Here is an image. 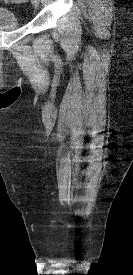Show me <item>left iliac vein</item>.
<instances>
[{"mask_svg": "<svg viewBox=\"0 0 133 275\" xmlns=\"http://www.w3.org/2000/svg\"><path fill=\"white\" fill-rule=\"evenodd\" d=\"M32 4L37 7L39 5L40 0H31Z\"/></svg>", "mask_w": 133, "mask_h": 275, "instance_id": "obj_1", "label": "left iliac vein"}]
</instances>
